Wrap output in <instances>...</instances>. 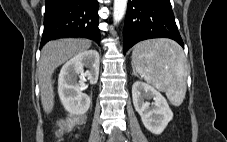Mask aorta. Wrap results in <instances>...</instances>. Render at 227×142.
Returning a JSON list of instances; mask_svg holds the SVG:
<instances>
[{
	"instance_id": "obj_1",
	"label": "aorta",
	"mask_w": 227,
	"mask_h": 142,
	"mask_svg": "<svg viewBox=\"0 0 227 142\" xmlns=\"http://www.w3.org/2000/svg\"><path fill=\"white\" fill-rule=\"evenodd\" d=\"M128 0H114L113 20L118 23L125 15Z\"/></svg>"
}]
</instances>
